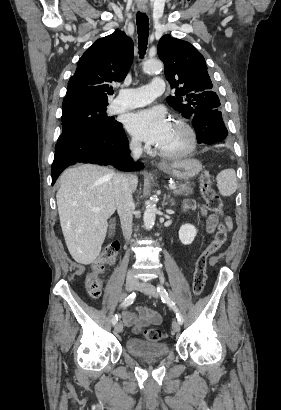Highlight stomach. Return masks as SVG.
<instances>
[{
  "instance_id": "obj_1",
  "label": "stomach",
  "mask_w": 281,
  "mask_h": 410,
  "mask_svg": "<svg viewBox=\"0 0 281 410\" xmlns=\"http://www.w3.org/2000/svg\"><path fill=\"white\" fill-rule=\"evenodd\" d=\"M160 169L175 178L189 180L202 170V165L197 159L187 158L165 163Z\"/></svg>"
}]
</instances>
